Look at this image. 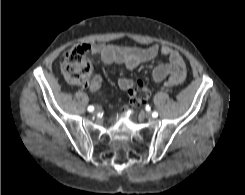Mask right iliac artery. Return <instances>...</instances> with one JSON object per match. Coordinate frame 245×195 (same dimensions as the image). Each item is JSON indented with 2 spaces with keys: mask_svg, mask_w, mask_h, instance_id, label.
I'll list each match as a JSON object with an SVG mask.
<instances>
[{
  "mask_svg": "<svg viewBox=\"0 0 245 195\" xmlns=\"http://www.w3.org/2000/svg\"><path fill=\"white\" fill-rule=\"evenodd\" d=\"M93 110H94V107H93V106H89V107H88V111H89V112H92Z\"/></svg>",
  "mask_w": 245,
  "mask_h": 195,
  "instance_id": "obj_1",
  "label": "right iliac artery"
}]
</instances>
